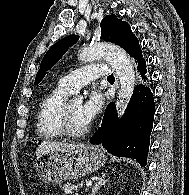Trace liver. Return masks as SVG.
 <instances>
[{"label":"liver","instance_id":"obj_1","mask_svg":"<svg viewBox=\"0 0 189 195\" xmlns=\"http://www.w3.org/2000/svg\"><path fill=\"white\" fill-rule=\"evenodd\" d=\"M84 146V144H67L61 142L43 141L36 149V156L37 158H40L42 155L52 151H71Z\"/></svg>","mask_w":189,"mask_h":195}]
</instances>
